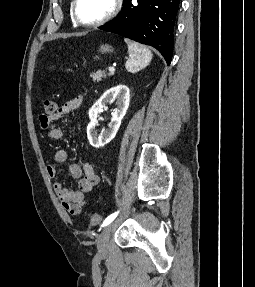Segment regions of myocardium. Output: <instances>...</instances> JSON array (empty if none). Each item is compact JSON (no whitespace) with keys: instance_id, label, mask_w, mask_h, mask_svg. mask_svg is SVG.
Segmentation results:
<instances>
[{"instance_id":"obj_1","label":"myocardium","mask_w":255,"mask_h":287,"mask_svg":"<svg viewBox=\"0 0 255 287\" xmlns=\"http://www.w3.org/2000/svg\"><path fill=\"white\" fill-rule=\"evenodd\" d=\"M96 33H110V32H96ZM98 39H110V38H98Z\"/></svg>"}]
</instances>
